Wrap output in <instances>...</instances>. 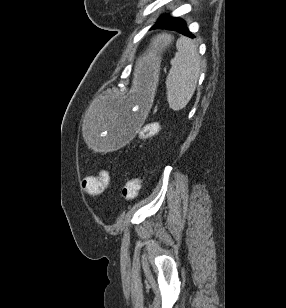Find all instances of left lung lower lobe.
I'll return each mask as SVG.
<instances>
[{"instance_id": "1", "label": "left lung lower lobe", "mask_w": 286, "mask_h": 308, "mask_svg": "<svg viewBox=\"0 0 286 308\" xmlns=\"http://www.w3.org/2000/svg\"><path fill=\"white\" fill-rule=\"evenodd\" d=\"M154 29L156 28H162V29H170L175 30L183 35H186L188 37H194L191 32L186 27V23L178 18H173L170 16H161L159 21L154 24L152 27Z\"/></svg>"}]
</instances>
